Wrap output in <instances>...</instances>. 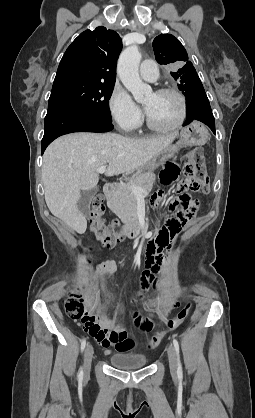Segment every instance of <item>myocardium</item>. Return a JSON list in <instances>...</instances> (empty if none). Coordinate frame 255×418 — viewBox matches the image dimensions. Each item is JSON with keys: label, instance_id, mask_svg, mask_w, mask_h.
I'll return each mask as SVG.
<instances>
[{"label": "myocardium", "instance_id": "myocardium-1", "mask_svg": "<svg viewBox=\"0 0 255 418\" xmlns=\"http://www.w3.org/2000/svg\"><path fill=\"white\" fill-rule=\"evenodd\" d=\"M155 93L157 94H163V93H170L175 95L181 104V112H180V116L178 118V120L167 127H161L158 126L156 124H154L151 119L149 118L147 111L145 112V122L147 127L154 131V132H158V133H168V132H172L176 129H178L180 126H182V124L185 122L186 117H187V100L186 97L184 96V94L182 92H180L179 90H177L176 88L173 87H162L159 88L155 91Z\"/></svg>", "mask_w": 255, "mask_h": 418}]
</instances>
